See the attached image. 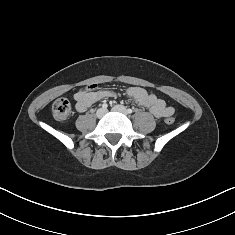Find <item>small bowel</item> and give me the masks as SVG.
<instances>
[{
  "instance_id": "obj_1",
  "label": "small bowel",
  "mask_w": 235,
  "mask_h": 235,
  "mask_svg": "<svg viewBox=\"0 0 235 235\" xmlns=\"http://www.w3.org/2000/svg\"><path fill=\"white\" fill-rule=\"evenodd\" d=\"M112 95L113 93L108 90L93 91L81 89L74 94L76 110L85 112L93 104ZM127 95L136 105L147 108L156 118H166L174 114L172 106L167 105L164 100L154 94H149L143 88L130 87L127 90Z\"/></svg>"
}]
</instances>
